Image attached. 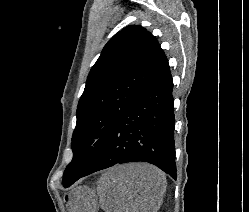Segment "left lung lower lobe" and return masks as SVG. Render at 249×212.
I'll return each instance as SVG.
<instances>
[{
	"instance_id": "0a47b994",
	"label": "left lung lower lobe",
	"mask_w": 249,
	"mask_h": 212,
	"mask_svg": "<svg viewBox=\"0 0 249 212\" xmlns=\"http://www.w3.org/2000/svg\"><path fill=\"white\" fill-rule=\"evenodd\" d=\"M172 88L166 59L123 112L82 177L116 164L143 161L176 179Z\"/></svg>"
}]
</instances>
